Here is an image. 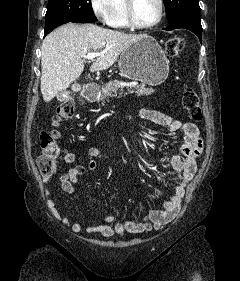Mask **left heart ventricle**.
Wrapping results in <instances>:
<instances>
[{
  "label": "left heart ventricle",
  "instance_id": "b2bd125f",
  "mask_svg": "<svg viewBox=\"0 0 240 281\" xmlns=\"http://www.w3.org/2000/svg\"><path fill=\"white\" fill-rule=\"evenodd\" d=\"M158 10L157 0H135V16L141 24L153 22L157 18Z\"/></svg>",
  "mask_w": 240,
  "mask_h": 281
}]
</instances>
